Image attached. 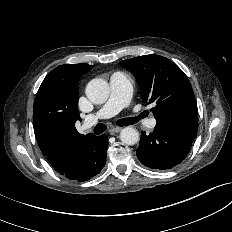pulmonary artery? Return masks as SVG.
<instances>
[{
	"label": "pulmonary artery",
	"mask_w": 232,
	"mask_h": 232,
	"mask_svg": "<svg viewBox=\"0 0 232 232\" xmlns=\"http://www.w3.org/2000/svg\"><path fill=\"white\" fill-rule=\"evenodd\" d=\"M131 95L132 85L129 77L121 71L113 73L110 78V97L108 101L99 110L86 117L85 125L90 127L98 120L115 116L130 104ZM146 125L149 128H154L156 119L154 117L148 119Z\"/></svg>",
	"instance_id": "pulmonary-artery-1"
}]
</instances>
